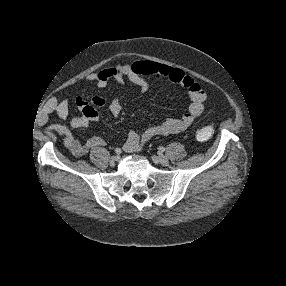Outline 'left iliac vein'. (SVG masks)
<instances>
[{
    "instance_id": "obj_1",
    "label": "left iliac vein",
    "mask_w": 286,
    "mask_h": 286,
    "mask_svg": "<svg viewBox=\"0 0 286 286\" xmlns=\"http://www.w3.org/2000/svg\"><path fill=\"white\" fill-rule=\"evenodd\" d=\"M153 160L159 162L162 165H168L169 164V159L166 156L159 155V156H153Z\"/></svg>"
}]
</instances>
